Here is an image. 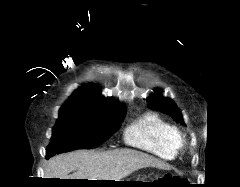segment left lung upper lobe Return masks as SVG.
I'll use <instances>...</instances> for the list:
<instances>
[{"mask_svg":"<svg viewBox=\"0 0 240 187\" xmlns=\"http://www.w3.org/2000/svg\"><path fill=\"white\" fill-rule=\"evenodd\" d=\"M147 98L150 107L170 114L177 122L184 124L181 112L169 98L163 97L159 91Z\"/></svg>","mask_w":240,"mask_h":187,"instance_id":"1","label":"left lung upper lobe"}]
</instances>
